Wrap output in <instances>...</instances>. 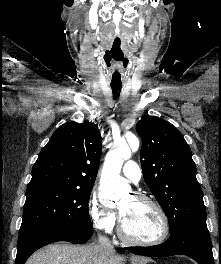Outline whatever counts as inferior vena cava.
Segmentation results:
<instances>
[{
  "label": "inferior vena cava",
  "mask_w": 221,
  "mask_h": 264,
  "mask_svg": "<svg viewBox=\"0 0 221 264\" xmlns=\"http://www.w3.org/2000/svg\"><path fill=\"white\" fill-rule=\"evenodd\" d=\"M98 241L100 246L109 253H115V249L114 247L111 245V242L109 241V239L105 236H101L99 235L98 237Z\"/></svg>",
  "instance_id": "1"
}]
</instances>
